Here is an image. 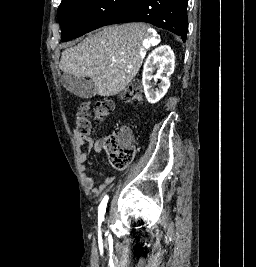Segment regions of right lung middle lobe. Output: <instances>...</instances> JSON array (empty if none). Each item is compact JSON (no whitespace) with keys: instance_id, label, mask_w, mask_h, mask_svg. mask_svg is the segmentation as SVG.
<instances>
[{"instance_id":"1","label":"right lung middle lobe","mask_w":256,"mask_h":267,"mask_svg":"<svg viewBox=\"0 0 256 267\" xmlns=\"http://www.w3.org/2000/svg\"><path fill=\"white\" fill-rule=\"evenodd\" d=\"M138 0H62L57 17L62 41H69L129 14Z\"/></svg>"}]
</instances>
